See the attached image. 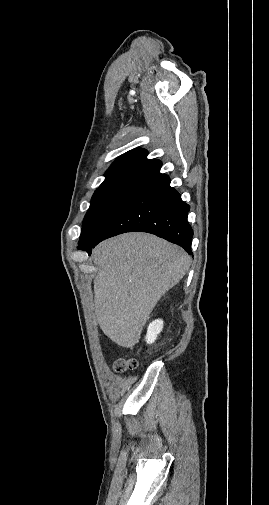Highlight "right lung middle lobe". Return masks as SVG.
Masks as SVG:
<instances>
[{
	"instance_id": "obj_1",
	"label": "right lung middle lobe",
	"mask_w": 269,
	"mask_h": 505,
	"mask_svg": "<svg viewBox=\"0 0 269 505\" xmlns=\"http://www.w3.org/2000/svg\"><path fill=\"white\" fill-rule=\"evenodd\" d=\"M127 187H100L83 220L78 248L93 243L122 206L137 192Z\"/></svg>"
}]
</instances>
